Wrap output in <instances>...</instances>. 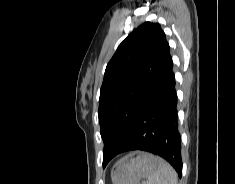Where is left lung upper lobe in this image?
<instances>
[{
    "instance_id": "5c2ea615",
    "label": "left lung upper lobe",
    "mask_w": 235,
    "mask_h": 184,
    "mask_svg": "<svg viewBox=\"0 0 235 184\" xmlns=\"http://www.w3.org/2000/svg\"><path fill=\"white\" fill-rule=\"evenodd\" d=\"M167 41L158 23L145 22L118 46L109 61L99 98L103 167L133 132L139 111L152 87Z\"/></svg>"
}]
</instances>
